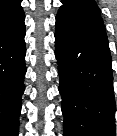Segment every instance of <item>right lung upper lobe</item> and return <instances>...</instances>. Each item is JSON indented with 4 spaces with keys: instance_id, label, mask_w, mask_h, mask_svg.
<instances>
[{
    "instance_id": "right-lung-upper-lobe-1",
    "label": "right lung upper lobe",
    "mask_w": 117,
    "mask_h": 136,
    "mask_svg": "<svg viewBox=\"0 0 117 136\" xmlns=\"http://www.w3.org/2000/svg\"><path fill=\"white\" fill-rule=\"evenodd\" d=\"M22 0H0V34L24 24L25 14L20 6Z\"/></svg>"
}]
</instances>
